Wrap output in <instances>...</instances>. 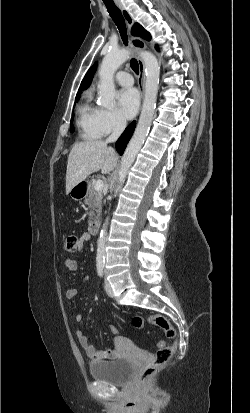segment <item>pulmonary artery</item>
Segmentation results:
<instances>
[{
  "mask_svg": "<svg viewBox=\"0 0 250 413\" xmlns=\"http://www.w3.org/2000/svg\"><path fill=\"white\" fill-rule=\"evenodd\" d=\"M115 80L117 81L118 84L125 86V87H130L133 85V78L127 72H123V71L118 72L115 75Z\"/></svg>",
  "mask_w": 250,
  "mask_h": 413,
  "instance_id": "1",
  "label": "pulmonary artery"
}]
</instances>
